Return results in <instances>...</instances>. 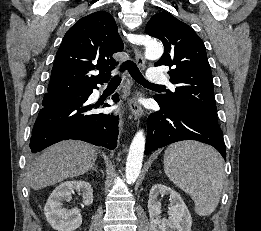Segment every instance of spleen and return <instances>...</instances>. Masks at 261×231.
<instances>
[{
	"label": "spleen",
	"instance_id": "spleen-1",
	"mask_svg": "<svg viewBox=\"0 0 261 231\" xmlns=\"http://www.w3.org/2000/svg\"><path fill=\"white\" fill-rule=\"evenodd\" d=\"M167 177L189 194L200 216H208L218 206L225 172L223 159L212 147L195 141L171 144L164 153Z\"/></svg>",
	"mask_w": 261,
	"mask_h": 231
}]
</instances>
